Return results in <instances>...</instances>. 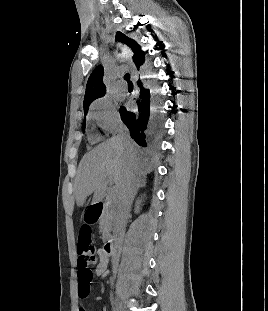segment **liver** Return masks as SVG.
<instances>
[{
  "label": "liver",
  "mask_w": 268,
  "mask_h": 311,
  "mask_svg": "<svg viewBox=\"0 0 268 311\" xmlns=\"http://www.w3.org/2000/svg\"><path fill=\"white\" fill-rule=\"evenodd\" d=\"M151 170L148 159L129 137L115 136L82 158L75 179L77 205L83 206L92 193V204L102 201L108 179L115 184L118 196L127 178L145 177Z\"/></svg>",
  "instance_id": "6515ba94"
}]
</instances>
